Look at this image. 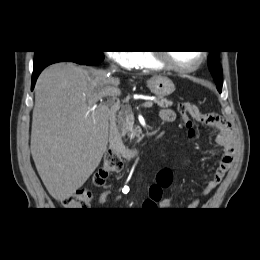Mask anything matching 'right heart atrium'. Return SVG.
<instances>
[{
  "label": "right heart atrium",
  "instance_id": "1",
  "mask_svg": "<svg viewBox=\"0 0 260 260\" xmlns=\"http://www.w3.org/2000/svg\"><path fill=\"white\" fill-rule=\"evenodd\" d=\"M110 59L124 69H132L139 62V53L136 51H113L109 53Z\"/></svg>",
  "mask_w": 260,
  "mask_h": 260
}]
</instances>
